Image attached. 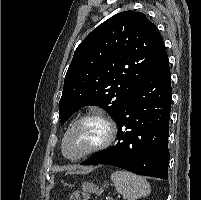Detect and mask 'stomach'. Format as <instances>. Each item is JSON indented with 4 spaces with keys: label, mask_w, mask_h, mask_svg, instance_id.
I'll return each instance as SVG.
<instances>
[{
    "label": "stomach",
    "mask_w": 201,
    "mask_h": 200,
    "mask_svg": "<svg viewBox=\"0 0 201 200\" xmlns=\"http://www.w3.org/2000/svg\"><path fill=\"white\" fill-rule=\"evenodd\" d=\"M82 187H83L84 191H89L91 193H96V194L100 193L103 190L102 188L99 190V188L97 186H95L93 183H89V182H84L82 184Z\"/></svg>",
    "instance_id": "obj_1"
}]
</instances>
